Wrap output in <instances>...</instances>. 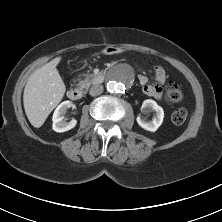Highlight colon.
I'll return each mask as SVG.
<instances>
[{
	"instance_id": "1",
	"label": "colon",
	"mask_w": 222,
	"mask_h": 222,
	"mask_svg": "<svg viewBox=\"0 0 222 222\" xmlns=\"http://www.w3.org/2000/svg\"><path fill=\"white\" fill-rule=\"evenodd\" d=\"M183 93L178 83L171 81L165 87V99L170 103H176L181 101ZM187 110L185 108H177L171 115V121L173 124L180 125L185 122L187 118Z\"/></svg>"
}]
</instances>
